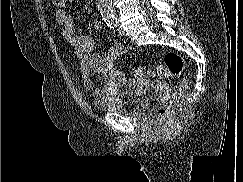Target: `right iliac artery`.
Wrapping results in <instances>:
<instances>
[{"label":"right iliac artery","instance_id":"obj_1","mask_svg":"<svg viewBox=\"0 0 243 182\" xmlns=\"http://www.w3.org/2000/svg\"><path fill=\"white\" fill-rule=\"evenodd\" d=\"M108 26H109L110 28L114 29V28L116 27V24H115V23H110V24H108Z\"/></svg>","mask_w":243,"mask_h":182}]
</instances>
